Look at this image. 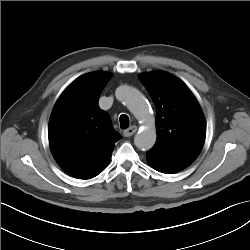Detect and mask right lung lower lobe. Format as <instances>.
I'll use <instances>...</instances> for the list:
<instances>
[{"label": "right lung lower lobe", "mask_w": 250, "mask_h": 250, "mask_svg": "<svg viewBox=\"0 0 250 250\" xmlns=\"http://www.w3.org/2000/svg\"><path fill=\"white\" fill-rule=\"evenodd\" d=\"M108 164H106L105 166H103L102 168H100L96 173H94L92 176L88 177L87 179L93 178L95 176H97L99 173H101L107 166Z\"/></svg>", "instance_id": "right-lung-lower-lobe-1"}]
</instances>
